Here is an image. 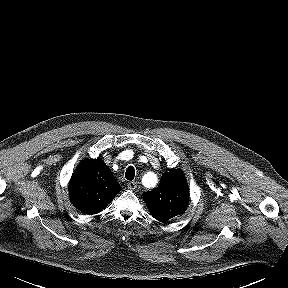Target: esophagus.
<instances>
[{"label": "esophagus", "instance_id": "1", "mask_svg": "<svg viewBox=\"0 0 288 288\" xmlns=\"http://www.w3.org/2000/svg\"><path fill=\"white\" fill-rule=\"evenodd\" d=\"M127 187L131 190H135L137 188V182L136 181H130V182H128Z\"/></svg>", "mask_w": 288, "mask_h": 288}]
</instances>
